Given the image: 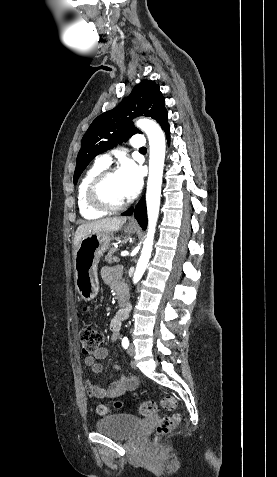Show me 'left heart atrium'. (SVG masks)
Here are the masks:
<instances>
[{"label": "left heart atrium", "instance_id": "obj_1", "mask_svg": "<svg viewBox=\"0 0 277 477\" xmlns=\"http://www.w3.org/2000/svg\"><path fill=\"white\" fill-rule=\"evenodd\" d=\"M117 174L120 178L125 197H135L143 184L141 169L133 161L126 160L121 164Z\"/></svg>", "mask_w": 277, "mask_h": 477}]
</instances>
